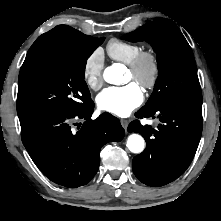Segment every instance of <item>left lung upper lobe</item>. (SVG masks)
<instances>
[{"instance_id": "obj_1", "label": "left lung upper lobe", "mask_w": 221, "mask_h": 221, "mask_svg": "<svg viewBox=\"0 0 221 221\" xmlns=\"http://www.w3.org/2000/svg\"><path fill=\"white\" fill-rule=\"evenodd\" d=\"M122 39L146 41L157 54L158 78L144 107L158 101H174L202 106L193 52L176 24L166 18L149 21Z\"/></svg>"}]
</instances>
